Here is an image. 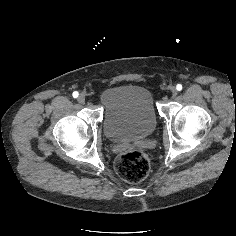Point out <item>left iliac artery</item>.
<instances>
[{
  "instance_id": "obj_1",
  "label": "left iliac artery",
  "mask_w": 236,
  "mask_h": 236,
  "mask_svg": "<svg viewBox=\"0 0 236 236\" xmlns=\"http://www.w3.org/2000/svg\"><path fill=\"white\" fill-rule=\"evenodd\" d=\"M176 89H177L178 91H181V90H182V85H181V84H177Z\"/></svg>"
}]
</instances>
